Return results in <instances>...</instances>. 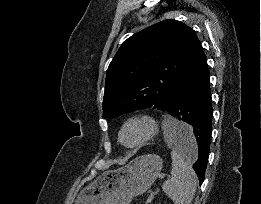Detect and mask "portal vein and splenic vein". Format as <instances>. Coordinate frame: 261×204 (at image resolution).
Instances as JSON below:
<instances>
[{
	"instance_id": "portal-vein-and-splenic-vein-1",
	"label": "portal vein and splenic vein",
	"mask_w": 261,
	"mask_h": 204,
	"mask_svg": "<svg viewBox=\"0 0 261 204\" xmlns=\"http://www.w3.org/2000/svg\"><path fill=\"white\" fill-rule=\"evenodd\" d=\"M154 195H155V190L152 189V190L150 191V194H149V196H148V198H147L145 204H149V203H151V201H152L153 198H154Z\"/></svg>"
}]
</instances>
